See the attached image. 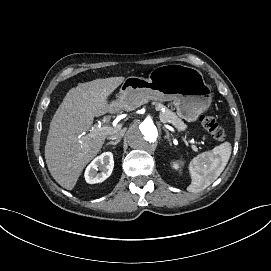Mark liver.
I'll return each mask as SVG.
<instances>
[{
    "mask_svg": "<svg viewBox=\"0 0 271 271\" xmlns=\"http://www.w3.org/2000/svg\"><path fill=\"white\" fill-rule=\"evenodd\" d=\"M124 80L111 77L79 84L68 92L54 114L45 160L52 177L65 189H74L84 168L103 147L106 135L86 132L93 126L94 117L115 111L109 97ZM82 133L85 134L80 138Z\"/></svg>",
    "mask_w": 271,
    "mask_h": 271,
    "instance_id": "6515ba94",
    "label": "liver"
}]
</instances>
